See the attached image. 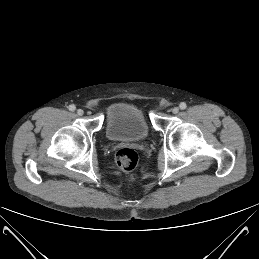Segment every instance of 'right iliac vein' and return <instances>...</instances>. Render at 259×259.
<instances>
[{"label": "right iliac vein", "instance_id": "63e3f726", "mask_svg": "<svg viewBox=\"0 0 259 259\" xmlns=\"http://www.w3.org/2000/svg\"><path fill=\"white\" fill-rule=\"evenodd\" d=\"M77 114H78L79 116H82V115L84 114V111H83L82 109H78V110H77Z\"/></svg>", "mask_w": 259, "mask_h": 259}]
</instances>
